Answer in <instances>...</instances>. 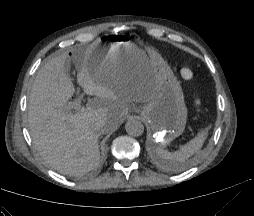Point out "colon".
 <instances>
[{"mask_svg":"<svg viewBox=\"0 0 254 216\" xmlns=\"http://www.w3.org/2000/svg\"><path fill=\"white\" fill-rule=\"evenodd\" d=\"M180 75L184 80H190L193 77V72L190 68L184 67L181 69Z\"/></svg>","mask_w":254,"mask_h":216,"instance_id":"1","label":"colon"}]
</instances>
